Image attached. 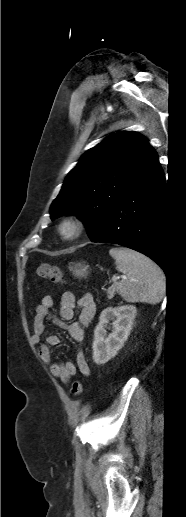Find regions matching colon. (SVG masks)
Wrapping results in <instances>:
<instances>
[{
  "label": "colon",
  "mask_w": 186,
  "mask_h": 517,
  "mask_svg": "<svg viewBox=\"0 0 186 517\" xmlns=\"http://www.w3.org/2000/svg\"><path fill=\"white\" fill-rule=\"evenodd\" d=\"M37 277L40 279L49 280L53 283H60L63 280V272L59 267L50 264H41L36 271ZM83 391L81 381L74 380L71 384V393L74 396H79Z\"/></svg>",
  "instance_id": "colon-1"
}]
</instances>
